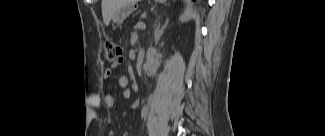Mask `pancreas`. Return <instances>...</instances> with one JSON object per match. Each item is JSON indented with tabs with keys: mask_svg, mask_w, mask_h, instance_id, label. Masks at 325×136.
Returning <instances> with one entry per match:
<instances>
[{
	"mask_svg": "<svg viewBox=\"0 0 325 136\" xmlns=\"http://www.w3.org/2000/svg\"><path fill=\"white\" fill-rule=\"evenodd\" d=\"M146 15V10L145 9H136L135 12H131L130 18H129V23L130 24H136L138 22V19L141 18V16Z\"/></svg>",
	"mask_w": 325,
	"mask_h": 136,
	"instance_id": "obj_1",
	"label": "pancreas"
}]
</instances>
